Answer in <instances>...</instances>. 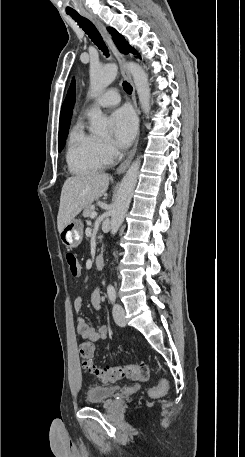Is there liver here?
<instances>
[{
  "label": "liver",
  "mask_w": 245,
  "mask_h": 457,
  "mask_svg": "<svg viewBox=\"0 0 245 457\" xmlns=\"http://www.w3.org/2000/svg\"><path fill=\"white\" fill-rule=\"evenodd\" d=\"M109 184V176L105 172H90L69 176L65 180L60 196L57 216L58 231L61 233L65 224L75 218L86 204H90L104 194Z\"/></svg>",
  "instance_id": "6515ba94"
}]
</instances>
